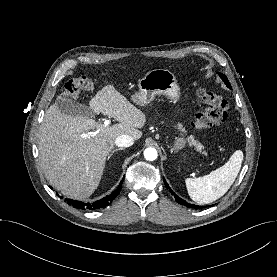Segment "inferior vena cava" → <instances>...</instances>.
Listing matches in <instances>:
<instances>
[{
    "label": "inferior vena cava",
    "instance_id": "1",
    "mask_svg": "<svg viewBox=\"0 0 277 277\" xmlns=\"http://www.w3.org/2000/svg\"><path fill=\"white\" fill-rule=\"evenodd\" d=\"M134 143V139L126 134L120 135L116 138L115 144L118 147L126 148L132 146Z\"/></svg>",
    "mask_w": 277,
    "mask_h": 277
}]
</instances>
